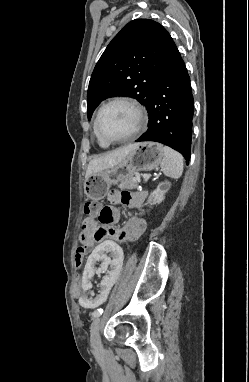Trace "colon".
<instances>
[{
    "label": "colon",
    "instance_id": "colon-1",
    "mask_svg": "<svg viewBox=\"0 0 249 382\" xmlns=\"http://www.w3.org/2000/svg\"><path fill=\"white\" fill-rule=\"evenodd\" d=\"M104 208L105 207H102V205L98 201L93 200V201H88L85 203L84 212L88 215H91V216L100 217ZM108 216H111V214L109 213ZM83 254H84L83 250H81V249L77 250L76 257H75V261H76L75 270L76 271L82 270Z\"/></svg>",
    "mask_w": 249,
    "mask_h": 382
}]
</instances>
